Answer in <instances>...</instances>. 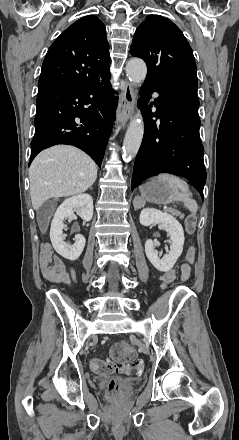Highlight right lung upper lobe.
<instances>
[{"instance_id":"right-lung-upper-lobe-1","label":"right lung upper lobe","mask_w":239,"mask_h":440,"mask_svg":"<svg viewBox=\"0 0 239 440\" xmlns=\"http://www.w3.org/2000/svg\"><path fill=\"white\" fill-rule=\"evenodd\" d=\"M109 44L104 24L86 16L67 28L44 59L38 89L85 84L110 74Z\"/></svg>"}]
</instances>
